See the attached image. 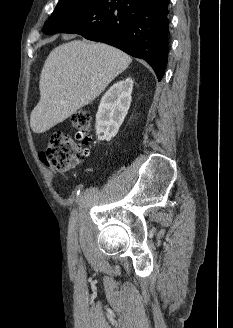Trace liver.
Here are the masks:
<instances>
[{"label":"liver","mask_w":233,"mask_h":328,"mask_svg":"<svg viewBox=\"0 0 233 328\" xmlns=\"http://www.w3.org/2000/svg\"><path fill=\"white\" fill-rule=\"evenodd\" d=\"M132 59L103 43L75 40L53 49L40 75V101L30 115L35 133L63 122L98 97Z\"/></svg>","instance_id":"obj_1"}]
</instances>
